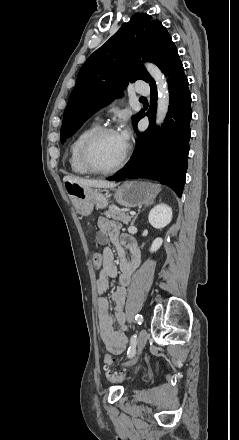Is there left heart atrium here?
Returning <instances> with one entry per match:
<instances>
[{"mask_svg":"<svg viewBox=\"0 0 239 440\" xmlns=\"http://www.w3.org/2000/svg\"><path fill=\"white\" fill-rule=\"evenodd\" d=\"M118 134L120 135L123 142L128 145L130 141V131L127 127H123L118 131Z\"/></svg>","mask_w":239,"mask_h":440,"instance_id":"39dd6f15","label":"left heart atrium"}]
</instances>
